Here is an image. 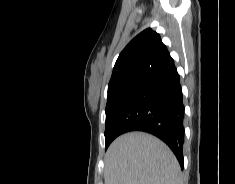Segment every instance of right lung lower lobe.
I'll return each instance as SVG.
<instances>
[{
	"mask_svg": "<svg viewBox=\"0 0 235 184\" xmlns=\"http://www.w3.org/2000/svg\"><path fill=\"white\" fill-rule=\"evenodd\" d=\"M183 120L180 76L168 57L127 92L110 130L116 137L130 131L155 135L170 147L183 169Z\"/></svg>",
	"mask_w": 235,
	"mask_h": 184,
	"instance_id": "98d812e1",
	"label": "right lung lower lobe"
}]
</instances>
